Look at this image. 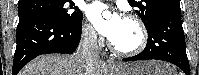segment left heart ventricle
Listing matches in <instances>:
<instances>
[{
  "label": "left heart ventricle",
  "mask_w": 199,
  "mask_h": 75,
  "mask_svg": "<svg viewBox=\"0 0 199 75\" xmlns=\"http://www.w3.org/2000/svg\"><path fill=\"white\" fill-rule=\"evenodd\" d=\"M140 40L139 30L136 25L124 20L122 27L112 42L121 48H134Z\"/></svg>",
  "instance_id": "left-heart-ventricle-1"
}]
</instances>
